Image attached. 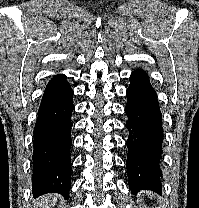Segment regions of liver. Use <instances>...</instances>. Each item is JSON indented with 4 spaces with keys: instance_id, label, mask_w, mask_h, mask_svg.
I'll list each match as a JSON object with an SVG mask.
<instances>
[{
    "instance_id": "6515ba94",
    "label": "liver",
    "mask_w": 199,
    "mask_h": 208,
    "mask_svg": "<svg viewBox=\"0 0 199 208\" xmlns=\"http://www.w3.org/2000/svg\"><path fill=\"white\" fill-rule=\"evenodd\" d=\"M57 201V196H54L52 198V195H45L44 197H42L41 199V204L40 206H42L43 208H48L47 205L52 202L53 204H55V202Z\"/></svg>"
}]
</instances>
